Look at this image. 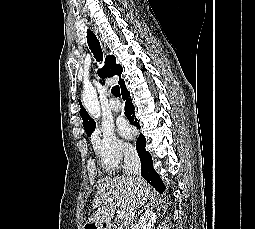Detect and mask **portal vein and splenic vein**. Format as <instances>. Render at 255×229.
Segmentation results:
<instances>
[{
    "label": "portal vein and splenic vein",
    "mask_w": 255,
    "mask_h": 229,
    "mask_svg": "<svg viewBox=\"0 0 255 229\" xmlns=\"http://www.w3.org/2000/svg\"><path fill=\"white\" fill-rule=\"evenodd\" d=\"M111 201V199H107L106 200V202H110ZM118 206H119V204H118ZM118 214H117V218L119 219V220H122L123 218H124V213L122 212V211H120V210H118V212H117Z\"/></svg>",
    "instance_id": "obj_1"
}]
</instances>
